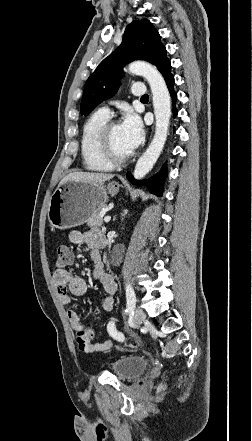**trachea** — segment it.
<instances>
[{
  "instance_id": "1",
  "label": "trachea",
  "mask_w": 252,
  "mask_h": 441,
  "mask_svg": "<svg viewBox=\"0 0 252 441\" xmlns=\"http://www.w3.org/2000/svg\"><path fill=\"white\" fill-rule=\"evenodd\" d=\"M146 99H149L148 95H144V96L141 97V100H146Z\"/></svg>"
}]
</instances>
